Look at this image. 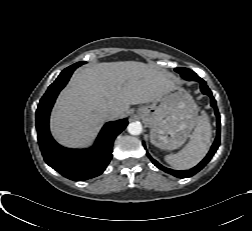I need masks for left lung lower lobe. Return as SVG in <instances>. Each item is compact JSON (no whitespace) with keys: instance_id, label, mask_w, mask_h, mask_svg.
Wrapping results in <instances>:
<instances>
[{"instance_id":"obj_1","label":"left lung lower lobe","mask_w":252,"mask_h":231,"mask_svg":"<svg viewBox=\"0 0 252 231\" xmlns=\"http://www.w3.org/2000/svg\"><path fill=\"white\" fill-rule=\"evenodd\" d=\"M184 79L186 80H193V81H198L200 83V88L203 94L208 95L211 98V106L215 109V115L217 117V135L215 138L214 143L212 144V147L209 151V153L206 155V157L194 168L190 169V170H183V171H179V170H172L169 168H166L164 166H162L161 164H159L156 160H154L148 153L147 156L150 158V160L152 161V163L158 167L159 169L172 174L175 177H179V178H187V177H191L194 174H196L197 172H199L209 161L210 159L213 157V155L215 154L216 150L219 147L220 144V115L216 106V101L214 99V97L212 96V93L210 91V89L208 88V86L206 85V82L201 79L196 73H194L192 71V73L189 74H185L183 76Z\"/></svg>"}]
</instances>
